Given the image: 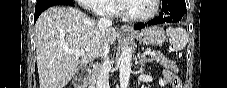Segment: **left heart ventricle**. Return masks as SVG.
I'll return each instance as SVG.
<instances>
[{
  "label": "left heart ventricle",
  "mask_w": 227,
  "mask_h": 88,
  "mask_svg": "<svg viewBox=\"0 0 227 88\" xmlns=\"http://www.w3.org/2000/svg\"><path fill=\"white\" fill-rule=\"evenodd\" d=\"M124 9L132 15L143 16L152 12V0H131L124 3Z\"/></svg>",
  "instance_id": "1"
}]
</instances>
